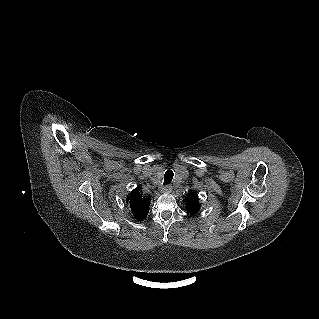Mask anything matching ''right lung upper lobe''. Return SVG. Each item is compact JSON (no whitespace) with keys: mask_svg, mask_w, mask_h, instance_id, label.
I'll list each match as a JSON object with an SVG mask.
<instances>
[{"mask_svg":"<svg viewBox=\"0 0 319 319\" xmlns=\"http://www.w3.org/2000/svg\"><path fill=\"white\" fill-rule=\"evenodd\" d=\"M150 200V198L142 197L138 189H134L127 197V202L130 204L135 219L142 220L147 216Z\"/></svg>","mask_w":319,"mask_h":319,"instance_id":"right-lung-upper-lobe-1","label":"right lung upper lobe"}]
</instances>
